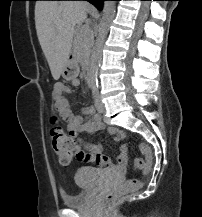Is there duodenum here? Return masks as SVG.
Instances as JSON below:
<instances>
[{"instance_id": "410a0bca", "label": "duodenum", "mask_w": 202, "mask_h": 217, "mask_svg": "<svg viewBox=\"0 0 202 217\" xmlns=\"http://www.w3.org/2000/svg\"><path fill=\"white\" fill-rule=\"evenodd\" d=\"M87 82H88L89 84H92V83H93V81H92V73H91L90 70H87Z\"/></svg>"}]
</instances>
